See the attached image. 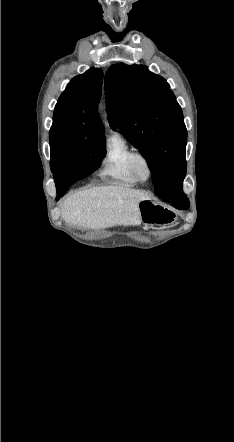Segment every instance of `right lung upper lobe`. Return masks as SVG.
I'll list each match as a JSON object with an SVG mask.
<instances>
[{"instance_id":"1","label":"right lung upper lobe","mask_w":234,"mask_h":442,"mask_svg":"<svg viewBox=\"0 0 234 442\" xmlns=\"http://www.w3.org/2000/svg\"><path fill=\"white\" fill-rule=\"evenodd\" d=\"M102 81L103 72L99 68L74 77L58 99L53 122H68L83 134L105 138L97 112Z\"/></svg>"}]
</instances>
